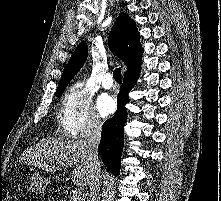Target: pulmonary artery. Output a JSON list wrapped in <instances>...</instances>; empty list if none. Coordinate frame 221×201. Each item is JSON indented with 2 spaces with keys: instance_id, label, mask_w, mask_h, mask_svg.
Listing matches in <instances>:
<instances>
[{
  "instance_id": "1",
  "label": "pulmonary artery",
  "mask_w": 221,
  "mask_h": 201,
  "mask_svg": "<svg viewBox=\"0 0 221 201\" xmlns=\"http://www.w3.org/2000/svg\"><path fill=\"white\" fill-rule=\"evenodd\" d=\"M102 86L105 89H110L113 86V78L110 73H106L102 79Z\"/></svg>"
}]
</instances>
